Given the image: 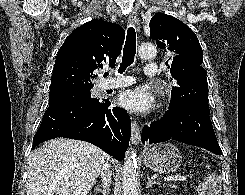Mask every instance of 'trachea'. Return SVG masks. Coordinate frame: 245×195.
<instances>
[{"mask_svg":"<svg viewBox=\"0 0 245 195\" xmlns=\"http://www.w3.org/2000/svg\"><path fill=\"white\" fill-rule=\"evenodd\" d=\"M136 53V32L134 27L128 28L126 42L123 49V57L119 73H123L128 66L134 63ZM109 73H104V77H107Z\"/></svg>","mask_w":245,"mask_h":195,"instance_id":"3493384b","label":"trachea"}]
</instances>
